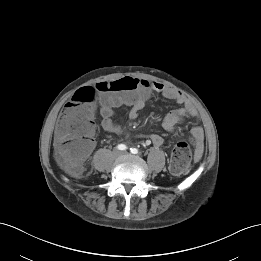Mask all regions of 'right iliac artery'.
Wrapping results in <instances>:
<instances>
[{
	"label": "right iliac artery",
	"mask_w": 261,
	"mask_h": 261,
	"mask_svg": "<svg viewBox=\"0 0 261 261\" xmlns=\"http://www.w3.org/2000/svg\"><path fill=\"white\" fill-rule=\"evenodd\" d=\"M117 148H118L119 150H126V149H127V146L124 145V144H119V145L117 146Z\"/></svg>",
	"instance_id": "82829eb1"
}]
</instances>
